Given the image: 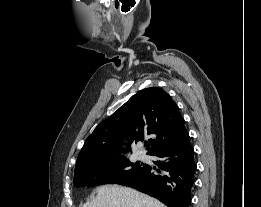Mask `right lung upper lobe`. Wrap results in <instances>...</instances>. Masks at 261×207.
<instances>
[{
  "mask_svg": "<svg viewBox=\"0 0 261 207\" xmlns=\"http://www.w3.org/2000/svg\"><path fill=\"white\" fill-rule=\"evenodd\" d=\"M124 136L129 142L151 136L149 155L176 146L189 137L184 119L170 95L158 87L146 88L95 128L86 139L75 168L118 156Z\"/></svg>",
  "mask_w": 261,
  "mask_h": 207,
  "instance_id": "1",
  "label": "right lung upper lobe"
}]
</instances>
